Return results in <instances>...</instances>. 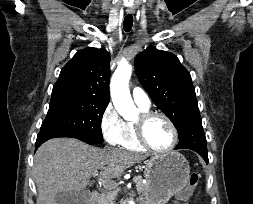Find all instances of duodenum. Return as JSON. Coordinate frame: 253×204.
<instances>
[{
	"mask_svg": "<svg viewBox=\"0 0 253 204\" xmlns=\"http://www.w3.org/2000/svg\"><path fill=\"white\" fill-rule=\"evenodd\" d=\"M99 200V192L98 191H94L91 194V198L89 200V202L87 204H97Z\"/></svg>",
	"mask_w": 253,
	"mask_h": 204,
	"instance_id": "duodenum-1",
	"label": "duodenum"
}]
</instances>
